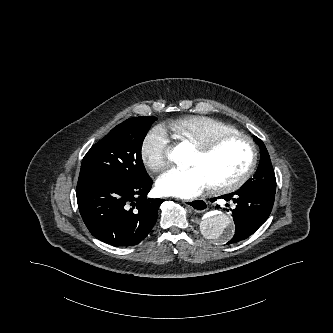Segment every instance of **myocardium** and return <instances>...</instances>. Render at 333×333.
Wrapping results in <instances>:
<instances>
[{
	"label": "myocardium",
	"mask_w": 333,
	"mask_h": 333,
	"mask_svg": "<svg viewBox=\"0 0 333 333\" xmlns=\"http://www.w3.org/2000/svg\"><path fill=\"white\" fill-rule=\"evenodd\" d=\"M232 140H240L247 143L251 149V159L248 167L236 178L229 181L211 184V188L218 192L235 190L249 180V178L254 173L258 162L257 145L251 137L241 133L222 134L206 142L195 145V148L199 153H201L202 155H209L213 153L217 148H219L222 144Z\"/></svg>",
	"instance_id": "myocardium-1"
}]
</instances>
